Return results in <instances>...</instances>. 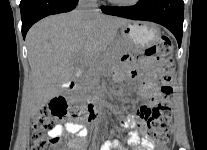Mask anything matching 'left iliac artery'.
Returning a JSON list of instances; mask_svg holds the SVG:
<instances>
[{"mask_svg":"<svg viewBox=\"0 0 207 150\" xmlns=\"http://www.w3.org/2000/svg\"><path fill=\"white\" fill-rule=\"evenodd\" d=\"M114 144H115V145H118V141H114ZM120 148H121V147H120Z\"/></svg>","mask_w":207,"mask_h":150,"instance_id":"obj_1","label":"left iliac artery"}]
</instances>
